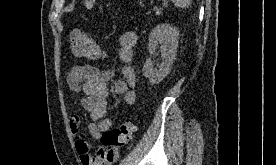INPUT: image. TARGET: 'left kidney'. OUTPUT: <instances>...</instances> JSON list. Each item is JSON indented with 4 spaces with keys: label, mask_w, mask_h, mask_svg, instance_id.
Returning a JSON list of instances; mask_svg holds the SVG:
<instances>
[{
    "label": "left kidney",
    "mask_w": 276,
    "mask_h": 165,
    "mask_svg": "<svg viewBox=\"0 0 276 165\" xmlns=\"http://www.w3.org/2000/svg\"><path fill=\"white\" fill-rule=\"evenodd\" d=\"M179 30L176 27H171L168 24H159L149 34L148 51L150 56L155 55V51L160 45V53L162 63L154 68V61L148 58L143 65V75L149 79L150 83L158 84L168 74L178 47Z\"/></svg>",
    "instance_id": "5707ae66"
}]
</instances>
